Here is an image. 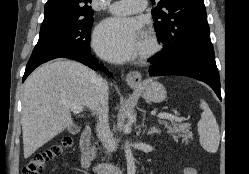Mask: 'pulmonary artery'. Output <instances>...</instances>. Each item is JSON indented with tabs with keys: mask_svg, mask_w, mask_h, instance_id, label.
I'll use <instances>...</instances> for the list:
<instances>
[{
	"mask_svg": "<svg viewBox=\"0 0 249 174\" xmlns=\"http://www.w3.org/2000/svg\"><path fill=\"white\" fill-rule=\"evenodd\" d=\"M146 0H121L110 5L109 10L113 14L126 15L144 10Z\"/></svg>",
	"mask_w": 249,
	"mask_h": 174,
	"instance_id": "pulmonary-artery-1",
	"label": "pulmonary artery"
}]
</instances>
